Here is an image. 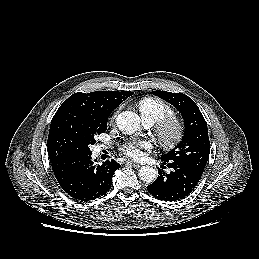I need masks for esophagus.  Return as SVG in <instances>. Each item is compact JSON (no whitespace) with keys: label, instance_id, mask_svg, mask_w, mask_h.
<instances>
[{"label":"esophagus","instance_id":"1","mask_svg":"<svg viewBox=\"0 0 259 259\" xmlns=\"http://www.w3.org/2000/svg\"><path fill=\"white\" fill-rule=\"evenodd\" d=\"M126 163L130 164V165H131L132 167H134V168H140V167H141L140 164L134 163V162H132V161H126Z\"/></svg>","mask_w":259,"mask_h":259}]
</instances>
